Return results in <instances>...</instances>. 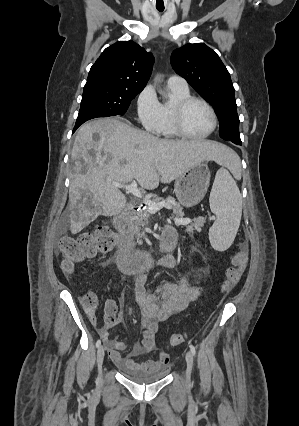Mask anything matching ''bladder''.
<instances>
[{
    "label": "bladder",
    "mask_w": 299,
    "mask_h": 426,
    "mask_svg": "<svg viewBox=\"0 0 299 426\" xmlns=\"http://www.w3.org/2000/svg\"><path fill=\"white\" fill-rule=\"evenodd\" d=\"M169 369L164 366L151 368V369H124L123 374L131 381L138 384H151L162 380L167 374Z\"/></svg>",
    "instance_id": "bladder-1"
}]
</instances>
